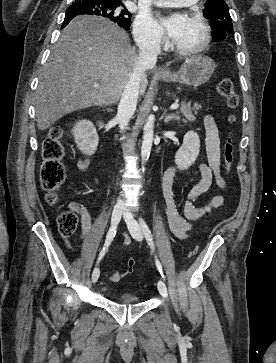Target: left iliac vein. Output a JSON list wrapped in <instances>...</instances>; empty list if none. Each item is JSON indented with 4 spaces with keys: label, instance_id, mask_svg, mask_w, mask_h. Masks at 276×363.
<instances>
[{
    "label": "left iliac vein",
    "instance_id": "1",
    "mask_svg": "<svg viewBox=\"0 0 276 363\" xmlns=\"http://www.w3.org/2000/svg\"><path fill=\"white\" fill-rule=\"evenodd\" d=\"M124 219L126 221V224L128 226L131 236L135 240L141 241L143 239V232H142V229H141L139 223L135 220V218L128 211L124 212ZM157 287H158L160 294L164 298H167L168 292H167V287H166L165 282L162 280H159Z\"/></svg>",
    "mask_w": 276,
    "mask_h": 363
}]
</instances>
